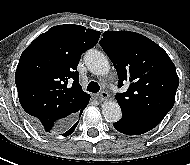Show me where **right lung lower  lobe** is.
<instances>
[{
  "label": "right lung lower lobe",
  "instance_id": "1",
  "mask_svg": "<svg viewBox=\"0 0 190 165\" xmlns=\"http://www.w3.org/2000/svg\"><path fill=\"white\" fill-rule=\"evenodd\" d=\"M86 106H87V105H86ZM86 106H85V107H86ZM85 107L79 112V115H80V116H81L83 110L85 109ZM30 121H31V123H32L34 126H36V127L38 128V125H39V124H38L37 120H35V119H33V118H30ZM77 124H78V122L72 124L66 131L62 132L61 134H63V136H65V137H66V136H69L70 134L73 133V131L75 130Z\"/></svg>",
  "mask_w": 190,
  "mask_h": 165
}]
</instances>
